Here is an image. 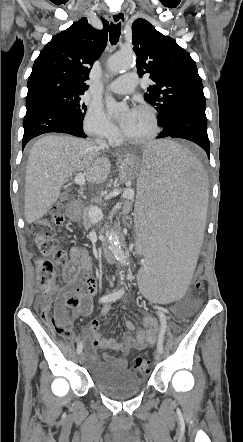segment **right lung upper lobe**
<instances>
[{
	"label": "right lung upper lobe",
	"instance_id": "cb5924a9",
	"mask_svg": "<svg viewBox=\"0 0 243 442\" xmlns=\"http://www.w3.org/2000/svg\"><path fill=\"white\" fill-rule=\"evenodd\" d=\"M102 21L103 30L92 28L87 18H82L53 36L35 60L26 98L54 89L84 94L91 66L107 43L108 22Z\"/></svg>",
	"mask_w": 243,
	"mask_h": 442
}]
</instances>
